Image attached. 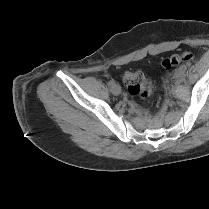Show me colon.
Listing matches in <instances>:
<instances>
[{
    "label": "colon",
    "mask_w": 209,
    "mask_h": 209,
    "mask_svg": "<svg viewBox=\"0 0 209 209\" xmlns=\"http://www.w3.org/2000/svg\"><path fill=\"white\" fill-rule=\"evenodd\" d=\"M191 59L192 55L189 52H183L165 58L161 64L163 68L171 69ZM123 82L129 94L143 99L150 97L155 90L154 83L140 71H126Z\"/></svg>",
    "instance_id": "5ec220e1"
}]
</instances>
